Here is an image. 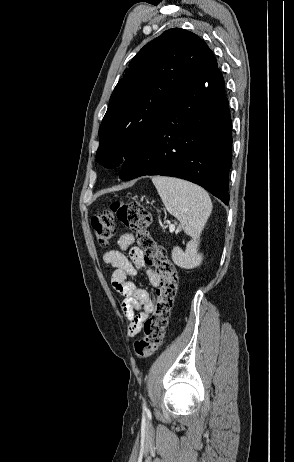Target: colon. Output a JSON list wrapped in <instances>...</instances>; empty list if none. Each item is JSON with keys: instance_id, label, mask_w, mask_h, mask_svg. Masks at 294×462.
Here are the masks:
<instances>
[{"instance_id": "1", "label": "colon", "mask_w": 294, "mask_h": 462, "mask_svg": "<svg viewBox=\"0 0 294 462\" xmlns=\"http://www.w3.org/2000/svg\"><path fill=\"white\" fill-rule=\"evenodd\" d=\"M116 220L137 233L144 264L152 268L158 278L154 309L143 324L144 337L134 344L136 355L148 358L156 353L163 343L177 293L178 276L166 250L148 231L152 221L151 214L138 202H115L109 209L92 217L91 226L100 246L105 247L110 243L115 233Z\"/></svg>"}]
</instances>
